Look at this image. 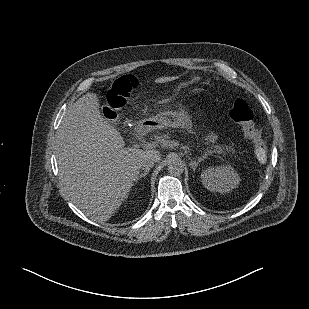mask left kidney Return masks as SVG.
<instances>
[{
	"mask_svg": "<svg viewBox=\"0 0 309 309\" xmlns=\"http://www.w3.org/2000/svg\"><path fill=\"white\" fill-rule=\"evenodd\" d=\"M201 182L209 191L226 193L236 188L240 176L229 165L208 167L201 173Z\"/></svg>",
	"mask_w": 309,
	"mask_h": 309,
	"instance_id": "left-kidney-1",
	"label": "left kidney"
}]
</instances>
